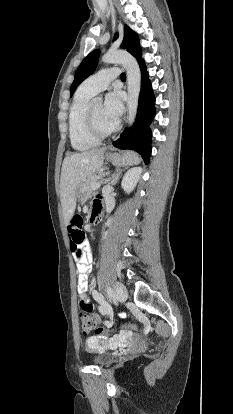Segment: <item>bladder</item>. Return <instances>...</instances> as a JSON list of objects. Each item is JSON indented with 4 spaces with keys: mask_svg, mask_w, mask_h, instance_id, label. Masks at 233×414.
Segmentation results:
<instances>
[{
    "mask_svg": "<svg viewBox=\"0 0 233 414\" xmlns=\"http://www.w3.org/2000/svg\"><path fill=\"white\" fill-rule=\"evenodd\" d=\"M93 363L97 366H106L109 365L113 361V354L111 352H102L98 353L93 358Z\"/></svg>",
    "mask_w": 233,
    "mask_h": 414,
    "instance_id": "31cf9c89",
    "label": "bladder"
}]
</instances>
